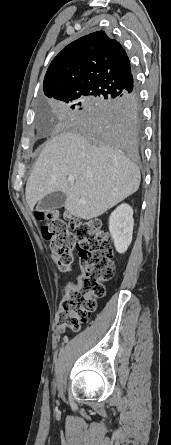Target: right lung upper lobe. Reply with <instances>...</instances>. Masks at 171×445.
<instances>
[{"instance_id": "1", "label": "right lung upper lobe", "mask_w": 171, "mask_h": 445, "mask_svg": "<svg viewBox=\"0 0 171 445\" xmlns=\"http://www.w3.org/2000/svg\"><path fill=\"white\" fill-rule=\"evenodd\" d=\"M43 87L44 94L56 100L75 92L122 98L136 90L126 52L104 31L83 36L59 52Z\"/></svg>"}]
</instances>
